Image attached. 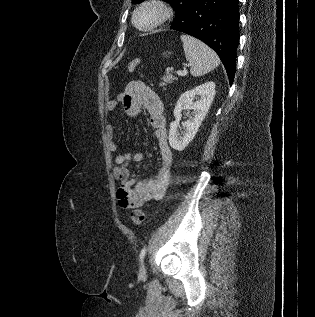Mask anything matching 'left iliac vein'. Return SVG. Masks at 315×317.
Here are the masks:
<instances>
[{
  "mask_svg": "<svg viewBox=\"0 0 315 317\" xmlns=\"http://www.w3.org/2000/svg\"><path fill=\"white\" fill-rule=\"evenodd\" d=\"M146 273H147V271H146L145 264L142 263V265H141V267H140V270H139V277H140L141 279H144V278L146 277Z\"/></svg>",
  "mask_w": 315,
  "mask_h": 317,
  "instance_id": "4c4485c4",
  "label": "left iliac vein"
}]
</instances>
